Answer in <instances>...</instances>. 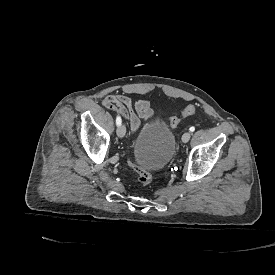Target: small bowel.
I'll list each match as a JSON object with an SVG mask.
<instances>
[{
	"mask_svg": "<svg viewBox=\"0 0 275 275\" xmlns=\"http://www.w3.org/2000/svg\"><path fill=\"white\" fill-rule=\"evenodd\" d=\"M102 105L126 118L132 134L140 130L142 120L149 123L153 119V111L147 99L141 98L133 102L127 94H111L103 98Z\"/></svg>",
	"mask_w": 275,
	"mask_h": 275,
	"instance_id": "c3829d8e",
	"label": "small bowel"
}]
</instances>
